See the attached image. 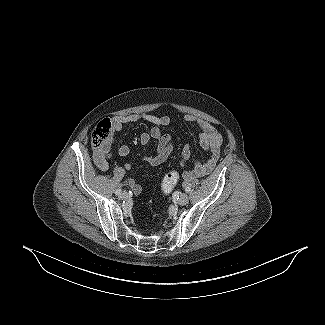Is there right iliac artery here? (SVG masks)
Returning <instances> with one entry per match:
<instances>
[{"instance_id": "1", "label": "right iliac artery", "mask_w": 325, "mask_h": 325, "mask_svg": "<svg viewBox=\"0 0 325 325\" xmlns=\"http://www.w3.org/2000/svg\"><path fill=\"white\" fill-rule=\"evenodd\" d=\"M121 191H122L121 189H117V190L115 191V194H116V195H120V194H121Z\"/></svg>"}]
</instances>
